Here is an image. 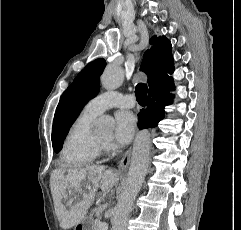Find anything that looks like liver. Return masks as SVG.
I'll return each instance as SVG.
<instances>
[{
    "label": "liver",
    "instance_id": "1",
    "mask_svg": "<svg viewBox=\"0 0 241 230\" xmlns=\"http://www.w3.org/2000/svg\"><path fill=\"white\" fill-rule=\"evenodd\" d=\"M118 181V174L105 166L54 170L51 174V193L60 227L66 230L78 225L94 202L97 190L107 192ZM68 192H75L74 198H69ZM63 200L68 201L69 208Z\"/></svg>",
    "mask_w": 241,
    "mask_h": 230
}]
</instances>
